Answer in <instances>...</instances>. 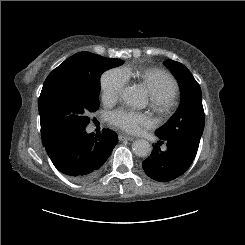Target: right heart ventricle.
<instances>
[{
	"instance_id": "e07e8e85",
	"label": "right heart ventricle",
	"mask_w": 245,
	"mask_h": 245,
	"mask_svg": "<svg viewBox=\"0 0 245 245\" xmlns=\"http://www.w3.org/2000/svg\"><path fill=\"white\" fill-rule=\"evenodd\" d=\"M128 79L132 72L124 69ZM141 82L148 88L150 94L158 93L163 90H169L175 96L177 93V83L175 79L166 71L158 68H148L137 73Z\"/></svg>"
}]
</instances>
